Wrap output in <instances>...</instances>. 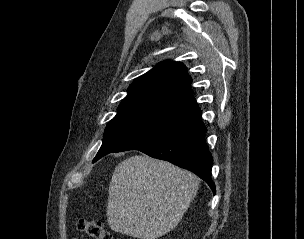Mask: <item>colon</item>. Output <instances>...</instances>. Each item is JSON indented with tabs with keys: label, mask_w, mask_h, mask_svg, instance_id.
<instances>
[{
	"label": "colon",
	"mask_w": 304,
	"mask_h": 239,
	"mask_svg": "<svg viewBox=\"0 0 304 239\" xmlns=\"http://www.w3.org/2000/svg\"><path fill=\"white\" fill-rule=\"evenodd\" d=\"M76 226L78 231L84 234L87 239H115L103 224L98 221L81 218L77 220Z\"/></svg>",
	"instance_id": "1"
}]
</instances>
